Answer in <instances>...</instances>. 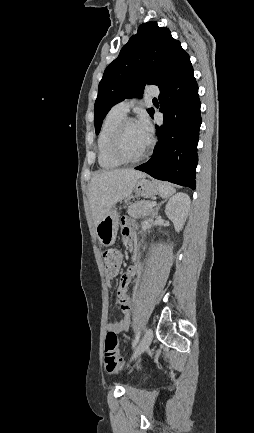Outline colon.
Listing matches in <instances>:
<instances>
[{
    "mask_svg": "<svg viewBox=\"0 0 254 433\" xmlns=\"http://www.w3.org/2000/svg\"><path fill=\"white\" fill-rule=\"evenodd\" d=\"M102 257L107 274H115L118 272L121 253L115 248H105L102 251ZM104 363L105 369L109 373H115L123 368L125 362L119 357V341L115 332L108 331L105 337L104 348Z\"/></svg>",
    "mask_w": 254,
    "mask_h": 433,
    "instance_id": "colon-1",
    "label": "colon"
}]
</instances>
